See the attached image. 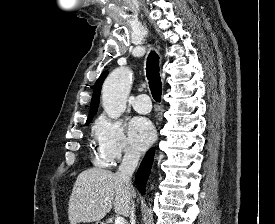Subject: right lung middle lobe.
<instances>
[{"label":"right lung middle lobe","mask_w":275,"mask_h":224,"mask_svg":"<svg viewBox=\"0 0 275 224\" xmlns=\"http://www.w3.org/2000/svg\"><path fill=\"white\" fill-rule=\"evenodd\" d=\"M90 121H91V120L87 121V123H86V124H88Z\"/></svg>","instance_id":"dd1d6c3e"}]
</instances>
